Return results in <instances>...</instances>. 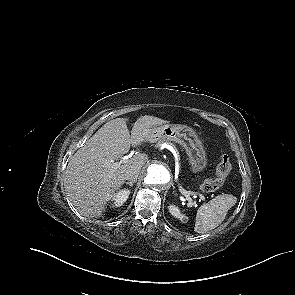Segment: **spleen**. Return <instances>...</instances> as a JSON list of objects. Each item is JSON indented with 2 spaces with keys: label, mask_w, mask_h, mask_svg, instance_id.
I'll use <instances>...</instances> for the list:
<instances>
[{
  "label": "spleen",
  "mask_w": 295,
  "mask_h": 295,
  "mask_svg": "<svg viewBox=\"0 0 295 295\" xmlns=\"http://www.w3.org/2000/svg\"><path fill=\"white\" fill-rule=\"evenodd\" d=\"M237 198L233 195L223 194L201 205L196 214L194 231L205 233L219 226L225 219L228 210L235 205ZM188 206L192 207L190 202Z\"/></svg>",
  "instance_id": "obj_1"
}]
</instances>
